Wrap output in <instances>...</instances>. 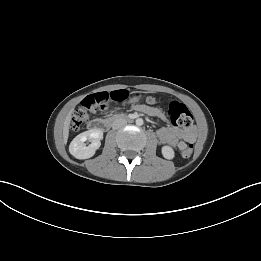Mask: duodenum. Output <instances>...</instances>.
Masks as SVG:
<instances>
[{"mask_svg": "<svg viewBox=\"0 0 261 261\" xmlns=\"http://www.w3.org/2000/svg\"><path fill=\"white\" fill-rule=\"evenodd\" d=\"M119 119H124L126 121H132L134 119V117L133 116H123V117H117L115 119L96 120L92 123V128L100 130V131H107L111 127L113 121L119 120Z\"/></svg>", "mask_w": 261, "mask_h": 261, "instance_id": "duodenum-1", "label": "duodenum"}]
</instances>
